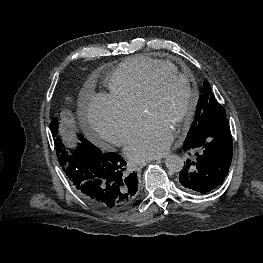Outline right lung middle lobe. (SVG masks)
<instances>
[{"instance_id":"obj_1","label":"right lung middle lobe","mask_w":263,"mask_h":263,"mask_svg":"<svg viewBox=\"0 0 263 263\" xmlns=\"http://www.w3.org/2000/svg\"><path fill=\"white\" fill-rule=\"evenodd\" d=\"M60 128L62 127H60L59 118H54L50 123V129L54 138L57 158L63 169L68 166L71 158L80 151L95 150L97 152H101L96 146H94L80 134L78 135L79 142L77 145L71 146V144H69L71 137L64 135L63 128L62 130H60Z\"/></svg>"}]
</instances>
